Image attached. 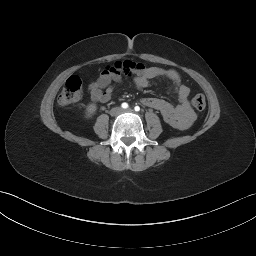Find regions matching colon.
I'll return each mask as SVG.
<instances>
[{"instance_id":"obj_1","label":"colon","mask_w":256,"mask_h":256,"mask_svg":"<svg viewBox=\"0 0 256 256\" xmlns=\"http://www.w3.org/2000/svg\"><path fill=\"white\" fill-rule=\"evenodd\" d=\"M82 95V80L79 76H70L59 95L58 101L61 105H68L77 102ZM206 97L198 93L192 98V104L196 110L202 111L206 107Z\"/></svg>"}]
</instances>
